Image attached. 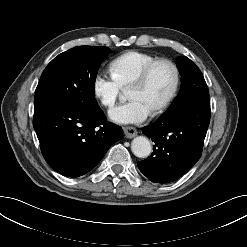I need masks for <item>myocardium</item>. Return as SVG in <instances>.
<instances>
[{
    "label": "myocardium",
    "instance_id": "f54148a6",
    "mask_svg": "<svg viewBox=\"0 0 247 247\" xmlns=\"http://www.w3.org/2000/svg\"><path fill=\"white\" fill-rule=\"evenodd\" d=\"M160 65H166L172 70L173 80H172V85L167 95L159 104H157L151 110L152 113H158L162 111L163 109H165L176 96L179 83H180V74H179V70L176 64L168 59H157L153 61L152 63H150L148 66H146L144 70L139 74V76L127 87L128 90L132 88L142 87L143 85L147 83L148 79L150 78L155 68Z\"/></svg>",
    "mask_w": 247,
    "mask_h": 247
}]
</instances>
